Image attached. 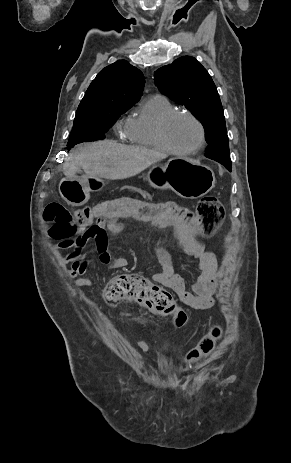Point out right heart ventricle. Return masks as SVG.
<instances>
[{
  "label": "right heart ventricle",
  "instance_id": "obj_1",
  "mask_svg": "<svg viewBox=\"0 0 291 463\" xmlns=\"http://www.w3.org/2000/svg\"><path fill=\"white\" fill-rule=\"evenodd\" d=\"M176 110L162 95L146 98L127 122V138L130 143L162 151L157 138V126L168 113Z\"/></svg>",
  "mask_w": 291,
  "mask_h": 463
}]
</instances>
